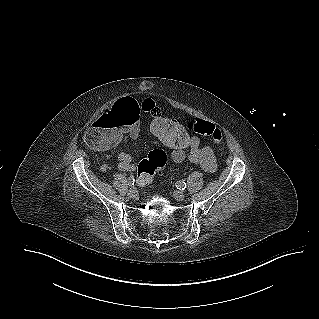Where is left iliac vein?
<instances>
[{"instance_id": "obj_1", "label": "left iliac vein", "mask_w": 319, "mask_h": 319, "mask_svg": "<svg viewBox=\"0 0 319 319\" xmlns=\"http://www.w3.org/2000/svg\"><path fill=\"white\" fill-rule=\"evenodd\" d=\"M173 196L178 201H183L185 199V194L179 190L174 191Z\"/></svg>"}]
</instances>
